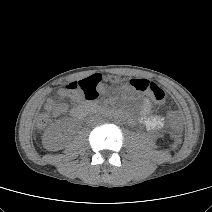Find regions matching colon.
<instances>
[{
    "label": "colon",
    "instance_id": "1",
    "mask_svg": "<svg viewBox=\"0 0 212 212\" xmlns=\"http://www.w3.org/2000/svg\"><path fill=\"white\" fill-rule=\"evenodd\" d=\"M130 85L139 92L147 93L157 103L163 104L166 101L164 90L156 83L146 79H133L130 81ZM66 89L72 94L81 95L88 100H93L105 89V84L101 75L93 74L84 79L69 83ZM171 119L174 127L178 128L180 123L179 113L176 111L172 112ZM47 122L48 116L46 114H41L37 118L38 129H43Z\"/></svg>",
    "mask_w": 212,
    "mask_h": 212
}]
</instances>
